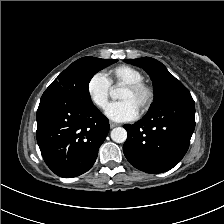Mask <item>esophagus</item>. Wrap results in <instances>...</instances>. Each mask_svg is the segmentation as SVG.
<instances>
[{"label":"esophagus","instance_id":"34e87169","mask_svg":"<svg viewBox=\"0 0 224 224\" xmlns=\"http://www.w3.org/2000/svg\"><path fill=\"white\" fill-rule=\"evenodd\" d=\"M109 124H110V128H111V129L114 128V127L119 126V124H117V123H113V122H110Z\"/></svg>","mask_w":224,"mask_h":224}]
</instances>
